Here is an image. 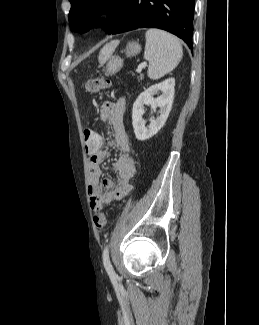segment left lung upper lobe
Listing matches in <instances>:
<instances>
[{
  "label": "left lung upper lobe",
  "mask_w": 259,
  "mask_h": 325,
  "mask_svg": "<svg viewBox=\"0 0 259 325\" xmlns=\"http://www.w3.org/2000/svg\"><path fill=\"white\" fill-rule=\"evenodd\" d=\"M69 24L75 32H86L92 27H103L108 33L116 26L127 0H69ZM108 12L111 18L93 23L100 12Z\"/></svg>",
  "instance_id": "left-lung-upper-lobe-1"
}]
</instances>
